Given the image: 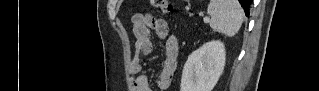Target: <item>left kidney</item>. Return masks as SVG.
Masks as SVG:
<instances>
[{
    "label": "left kidney",
    "instance_id": "1",
    "mask_svg": "<svg viewBox=\"0 0 319 91\" xmlns=\"http://www.w3.org/2000/svg\"><path fill=\"white\" fill-rule=\"evenodd\" d=\"M226 61L224 43L212 40L188 57L182 72L181 91H212L223 73Z\"/></svg>",
    "mask_w": 319,
    "mask_h": 91
}]
</instances>
